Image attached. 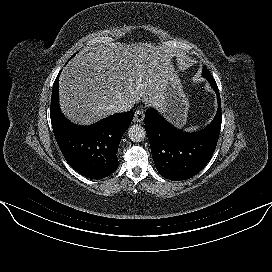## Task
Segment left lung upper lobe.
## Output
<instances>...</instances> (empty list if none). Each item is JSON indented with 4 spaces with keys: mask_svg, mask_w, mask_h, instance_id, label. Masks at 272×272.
<instances>
[{
    "mask_svg": "<svg viewBox=\"0 0 272 272\" xmlns=\"http://www.w3.org/2000/svg\"><path fill=\"white\" fill-rule=\"evenodd\" d=\"M202 75H203L204 77H206V78L212 77L211 74L209 73V71H208V69H207L206 66L203 67V73H202Z\"/></svg>",
    "mask_w": 272,
    "mask_h": 272,
    "instance_id": "obj_1",
    "label": "left lung upper lobe"
}]
</instances>
